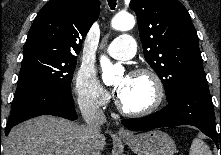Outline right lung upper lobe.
<instances>
[{"mask_svg":"<svg viewBox=\"0 0 221 155\" xmlns=\"http://www.w3.org/2000/svg\"><path fill=\"white\" fill-rule=\"evenodd\" d=\"M97 0H50L37 14L23 47V55L48 54L77 59L81 43L98 18Z\"/></svg>","mask_w":221,"mask_h":155,"instance_id":"cb5924a9","label":"right lung upper lobe"}]
</instances>
